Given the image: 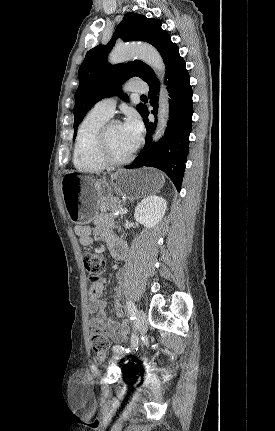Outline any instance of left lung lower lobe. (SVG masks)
Masks as SVG:
<instances>
[{"mask_svg":"<svg viewBox=\"0 0 275 431\" xmlns=\"http://www.w3.org/2000/svg\"><path fill=\"white\" fill-rule=\"evenodd\" d=\"M166 80L169 96L171 97L170 115L168 127L158 143H151V136L156 127V122L148 120V109L145 106L141 116L144 119L147 136L145 146L135 161L126 168L155 167L164 171L180 191L185 171V163L189 150V135L192 129V88L189 82V74L185 61L179 54V49L174 46L166 59ZM151 113L156 116L158 108L159 82L156 77L149 82Z\"/></svg>","mask_w":275,"mask_h":431,"instance_id":"obj_1","label":"left lung lower lobe"}]
</instances>
